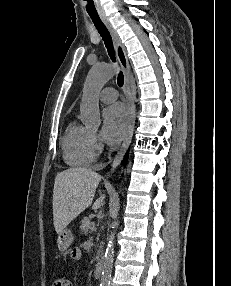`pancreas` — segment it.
Wrapping results in <instances>:
<instances>
[{"instance_id": "pancreas-1", "label": "pancreas", "mask_w": 231, "mask_h": 286, "mask_svg": "<svg viewBox=\"0 0 231 286\" xmlns=\"http://www.w3.org/2000/svg\"><path fill=\"white\" fill-rule=\"evenodd\" d=\"M91 217H84L81 221V225H80V229L81 232L84 234H87L88 231L90 230V226H91Z\"/></svg>"}]
</instances>
